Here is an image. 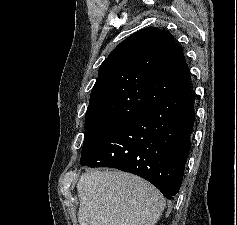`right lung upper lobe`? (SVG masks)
I'll return each instance as SVG.
<instances>
[{
	"label": "right lung upper lobe",
	"instance_id": "right-lung-upper-lobe-1",
	"mask_svg": "<svg viewBox=\"0 0 237 225\" xmlns=\"http://www.w3.org/2000/svg\"><path fill=\"white\" fill-rule=\"evenodd\" d=\"M183 51L174 37L148 27L122 41L101 64L86 119H131L190 89Z\"/></svg>",
	"mask_w": 237,
	"mask_h": 225
}]
</instances>
